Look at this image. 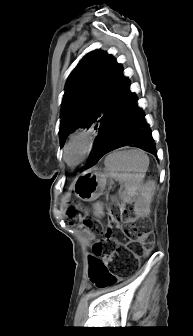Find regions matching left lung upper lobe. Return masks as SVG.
<instances>
[{"label":"left lung upper lobe","instance_id":"1","mask_svg":"<svg viewBox=\"0 0 193 336\" xmlns=\"http://www.w3.org/2000/svg\"><path fill=\"white\" fill-rule=\"evenodd\" d=\"M125 81L121 65L106 52L95 50L80 60L65 86L59 132L62 146L78 128H99Z\"/></svg>","mask_w":193,"mask_h":336}]
</instances>
